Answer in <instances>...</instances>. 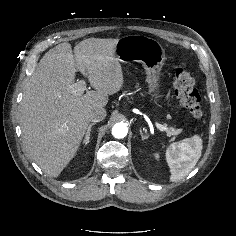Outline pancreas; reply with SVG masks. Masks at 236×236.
I'll use <instances>...</instances> for the list:
<instances>
[{
    "label": "pancreas",
    "instance_id": "1",
    "mask_svg": "<svg viewBox=\"0 0 236 236\" xmlns=\"http://www.w3.org/2000/svg\"><path fill=\"white\" fill-rule=\"evenodd\" d=\"M167 132H168L169 135H178L182 132V130L181 129L169 128L167 130Z\"/></svg>",
    "mask_w": 236,
    "mask_h": 236
}]
</instances>
